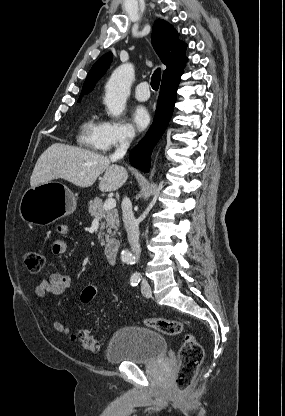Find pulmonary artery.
Returning <instances> with one entry per match:
<instances>
[{"label": "pulmonary artery", "instance_id": "pulmonary-artery-1", "mask_svg": "<svg viewBox=\"0 0 285 416\" xmlns=\"http://www.w3.org/2000/svg\"><path fill=\"white\" fill-rule=\"evenodd\" d=\"M146 87H148V83L146 81H143L134 87L135 97L138 100L144 101L149 98L148 89Z\"/></svg>", "mask_w": 285, "mask_h": 416}]
</instances>
